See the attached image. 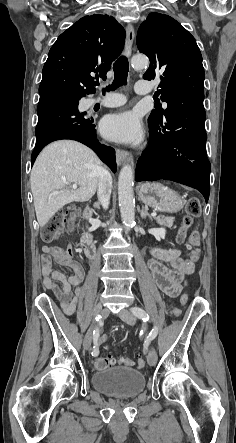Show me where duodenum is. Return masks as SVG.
<instances>
[{
    "label": "duodenum",
    "mask_w": 236,
    "mask_h": 443,
    "mask_svg": "<svg viewBox=\"0 0 236 443\" xmlns=\"http://www.w3.org/2000/svg\"><path fill=\"white\" fill-rule=\"evenodd\" d=\"M95 211L92 207H86L84 209V216L86 218H91L93 217ZM81 246L84 249L86 256L89 259H92L95 253V248H94V233L91 230L90 227V223L87 222L86 224V231L83 234L82 238H81Z\"/></svg>",
    "instance_id": "duodenum-1"
}]
</instances>
